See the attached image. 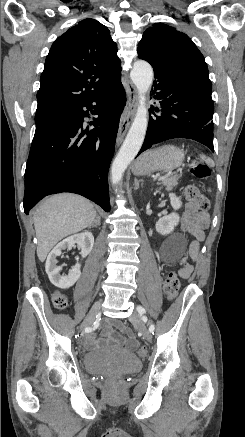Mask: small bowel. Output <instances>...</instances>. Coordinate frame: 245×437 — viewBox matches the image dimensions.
I'll list each match as a JSON object with an SVG mask.
<instances>
[{"label":"small bowel","instance_id":"obj_1","mask_svg":"<svg viewBox=\"0 0 245 437\" xmlns=\"http://www.w3.org/2000/svg\"><path fill=\"white\" fill-rule=\"evenodd\" d=\"M210 217L205 212H200L192 203H188L183 212L181 218V228L184 232L191 235L194 240L190 243L186 256L183 258L182 263L188 259L196 260L198 257L199 243L205 238V230L209 226ZM191 273L190 267H185L180 270L182 277H187ZM105 334L113 341L123 344L128 349H134L138 345L137 339L133 336L131 331L127 328L124 329L127 337L121 336L116 332L111 325L106 321L103 324ZM98 341L93 335L89 336L86 344L89 347L96 345Z\"/></svg>","mask_w":245,"mask_h":437}]
</instances>
